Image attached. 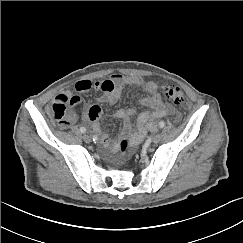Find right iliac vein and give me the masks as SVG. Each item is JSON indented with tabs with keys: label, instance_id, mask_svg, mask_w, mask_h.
<instances>
[{
	"label": "right iliac vein",
	"instance_id": "right-iliac-vein-1",
	"mask_svg": "<svg viewBox=\"0 0 243 243\" xmlns=\"http://www.w3.org/2000/svg\"><path fill=\"white\" fill-rule=\"evenodd\" d=\"M83 140H84L86 143H89V142H91V137H90L88 134H84V135H83Z\"/></svg>",
	"mask_w": 243,
	"mask_h": 243
}]
</instances>
